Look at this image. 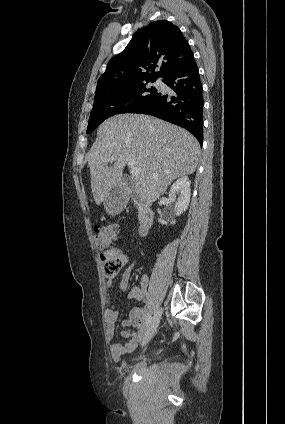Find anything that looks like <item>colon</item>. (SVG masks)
I'll return each mask as SVG.
<instances>
[{
    "instance_id": "1",
    "label": "colon",
    "mask_w": 285,
    "mask_h": 424,
    "mask_svg": "<svg viewBox=\"0 0 285 424\" xmlns=\"http://www.w3.org/2000/svg\"><path fill=\"white\" fill-rule=\"evenodd\" d=\"M118 232L119 227L116 224L94 227V242L96 247L102 251L100 255L102 267L109 277L118 274L123 266L121 255L113 248Z\"/></svg>"
}]
</instances>
